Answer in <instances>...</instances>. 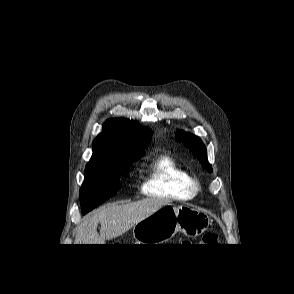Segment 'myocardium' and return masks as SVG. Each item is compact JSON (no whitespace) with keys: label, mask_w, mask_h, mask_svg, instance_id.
Here are the masks:
<instances>
[{"label":"myocardium","mask_w":294,"mask_h":294,"mask_svg":"<svg viewBox=\"0 0 294 294\" xmlns=\"http://www.w3.org/2000/svg\"><path fill=\"white\" fill-rule=\"evenodd\" d=\"M200 189H201V185H200L199 180L195 177H190L189 190H190L191 194L198 193L200 191Z\"/></svg>","instance_id":"1"}]
</instances>
